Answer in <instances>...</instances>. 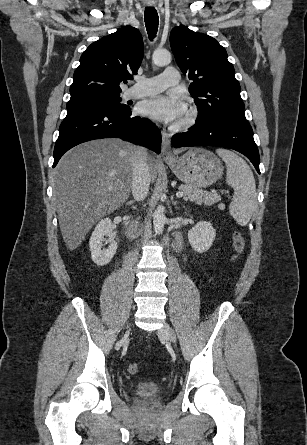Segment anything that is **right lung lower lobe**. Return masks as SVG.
I'll use <instances>...</instances> for the list:
<instances>
[{"label":"right lung lower lobe","instance_id":"98d812e1","mask_svg":"<svg viewBox=\"0 0 307 445\" xmlns=\"http://www.w3.org/2000/svg\"><path fill=\"white\" fill-rule=\"evenodd\" d=\"M131 109L112 106H87L67 110L54 148V164L72 147L99 138H121L161 151V134L146 118L130 117Z\"/></svg>","mask_w":307,"mask_h":445}]
</instances>
